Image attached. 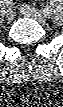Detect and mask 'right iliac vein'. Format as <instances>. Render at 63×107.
I'll list each match as a JSON object with an SVG mask.
<instances>
[{
	"label": "right iliac vein",
	"mask_w": 63,
	"mask_h": 107,
	"mask_svg": "<svg viewBox=\"0 0 63 107\" xmlns=\"http://www.w3.org/2000/svg\"><path fill=\"white\" fill-rule=\"evenodd\" d=\"M6 17L8 21H12L14 19V13L11 9H8L6 12Z\"/></svg>",
	"instance_id": "1"
}]
</instances>
